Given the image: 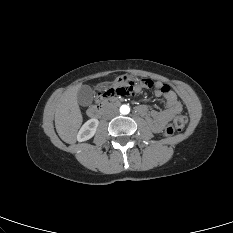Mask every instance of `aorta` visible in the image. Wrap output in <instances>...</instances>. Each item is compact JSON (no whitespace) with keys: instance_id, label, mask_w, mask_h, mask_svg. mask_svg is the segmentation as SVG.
Masks as SVG:
<instances>
[{"instance_id":"obj_1","label":"aorta","mask_w":233,"mask_h":233,"mask_svg":"<svg viewBox=\"0 0 233 233\" xmlns=\"http://www.w3.org/2000/svg\"><path fill=\"white\" fill-rule=\"evenodd\" d=\"M130 112V107L128 105H122L120 107V113L126 115Z\"/></svg>"}]
</instances>
